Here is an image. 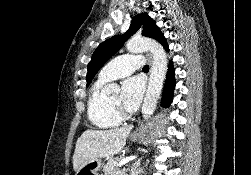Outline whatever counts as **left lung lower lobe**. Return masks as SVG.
I'll list each match as a JSON object with an SVG mask.
<instances>
[{
	"instance_id": "left-lung-lower-lobe-1",
	"label": "left lung lower lobe",
	"mask_w": 251,
	"mask_h": 175,
	"mask_svg": "<svg viewBox=\"0 0 251 175\" xmlns=\"http://www.w3.org/2000/svg\"><path fill=\"white\" fill-rule=\"evenodd\" d=\"M158 41L164 46L165 49L168 50V44L164 36H162ZM174 75H175V70L173 68L172 62H170L161 99V106L164 108L169 107L172 102L173 90L175 88Z\"/></svg>"
}]
</instances>
